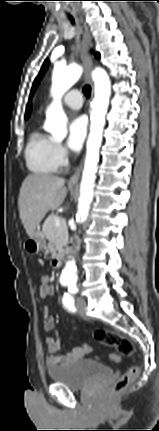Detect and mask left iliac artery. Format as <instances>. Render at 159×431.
Returning a JSON list of instances; mask_svg holds the SVG:
<instances>
[{
  "label": "left iliac artery",
  "instance_id": "obj_1",
  "mask_svg": "<svg viewBox=\"0 0 159 431\" xmlns=\"http://www.w3.org/2000/svg\"><path fill=\"white\" fill-rule=\"evenodd\" d=\"M75 285V284H74ZM77 292V289H73L72 291H71V293H69V294H65L64 295V297H63V304H64V306L68 309V310H70V311H72V312H75L76 311V309H75V306H74V298H73V296L71 295V294H74V293H76Z\"/></svg>",
  "mask_w": 159,
  "mask_h": 431
}]
</instances>
